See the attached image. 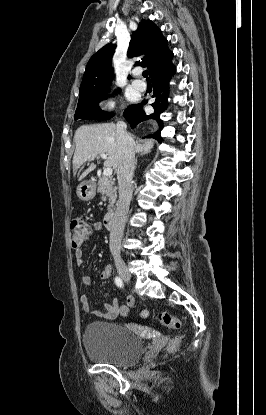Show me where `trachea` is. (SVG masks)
Instances as JSON below:
<instances>
[{
	"label": "trachea",
	"instance_id": "obj_1",
	"mask_svg": "<svg viewBox=\"0 0 266 415\" xmlns=\"http://www.w3.org/2000/svg\"><path fill=\"white\" fill-rule=\"evenodd\" d=\"M143 77H145L147 80H149V78H148V71L147 70L143 72Z\"/></svg>",
	"mask_w": 266,
	"mask_h": 415
}]
</instances>
